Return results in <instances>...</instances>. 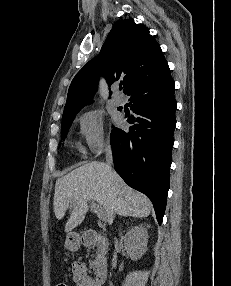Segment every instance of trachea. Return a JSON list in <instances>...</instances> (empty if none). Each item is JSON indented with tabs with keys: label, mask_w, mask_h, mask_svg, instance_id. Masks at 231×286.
I'll list each match as a JSON object with an SVG mask.
<instances>
[{
	"label": "trachea",
	"mask_w": 231,
	"mask_h": 286,
	"mask_svg": "<svg viewBox=\"0 0 231 286\" xmlns=\"http://www.w3.org/2000/svg\"><path fill=\"white\" fill-rule=\"evenodd\" d=\"M119 90H122V86L119 87Z\"/></svg>",
	"instance_id": "1"
}]
</instances>
